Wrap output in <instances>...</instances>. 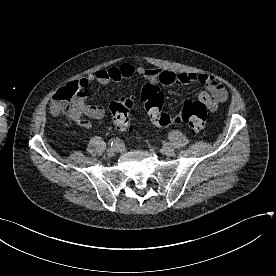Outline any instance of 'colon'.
<instances>
[{
    "label": "colon",
    "instance_id": "obj_1",
    "mask_svg": "<svg viewBox=\"0 0 276 276\" xmlns=\"http://www.w3.org/2000/svg\"><path fill=\"white\" fill-rule=\"evenodd\" d=\"M81 95L82 89L78 82H71L56 92L53 97V107L67 117L72 116L76 111L75 102ZM141 102L149 120L158 127L185 124L195 132L205 129L206 105L199 100H189L183 105L180 113L169 115L162 110L164 97L160 88L154 83H148L142 89ZM132 106L133 101L130 98L120 99L110 105L113 123L120 132H127L131 128Z\"/></svg>",
    "mask_w": 276,
    "mask_h": 276
}]
</instances>
